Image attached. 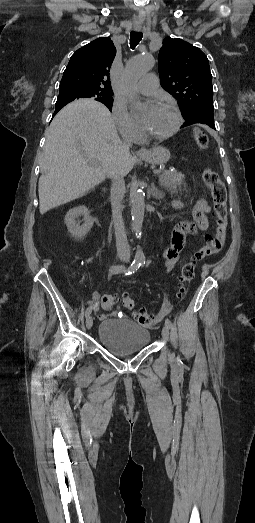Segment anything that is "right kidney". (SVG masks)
I'll list each match as a JSON object with an SVG mask.
<instances>
[{
  "mask_svg": "<svg viewBox=\"0 0 255 523\" xmlns=\"http://www.w3.org/2000/svg\"><path fill=\"white\" fill-rule=\"evenodd\" d=\"M78 216H84L85 222L82 226L76 224V218H78ZM65 224L72 238H75V240H82V238L90 232L94 220L91 218L86 206H78V208H72V210L67 212L65 216Z\"/></svg>",
  "mask_w": 255,
  "mask_h": 523,
  "instance_id": "1",
  "label": "right kidney"
}]
</instances>
